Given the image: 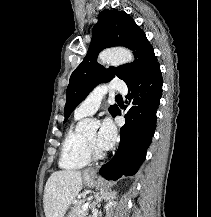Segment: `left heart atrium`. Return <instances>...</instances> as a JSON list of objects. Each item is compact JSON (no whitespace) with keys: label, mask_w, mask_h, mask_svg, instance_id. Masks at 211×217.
Listing matches in <instances>:
<instances>
[{"label":"left heart atrium","mask_w":211,"mask_h":217,"mask_svg":"<svg viewBox=\"0 0 211 217\" xmlns=\"http://www.w3.org/2000/svg\"><path fill=\"white\" fill-rule=\"evenodd\" d=\"M116 128L110 118H105L101 122L96 136V145L102 150L110 149L116 140Z\"/></svg>","instance_id":"left-heart-atrium-1"}]
</instances>
